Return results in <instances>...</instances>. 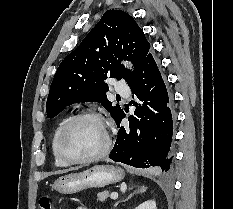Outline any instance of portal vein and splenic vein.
Listing matches in <instances>:
<instances>
[{
    "mask_svg": "<svg viewBox=\"0 0 233 209\" xmlns=\"http://www.w3.org/2000/svg\"><path fill=\"white\" fill-rule=\"evenodd\" d=\"M118 198V194L116 193V192H113L112 194H111V199H117Z\"/></svg>",
    "mask_w": 233,
    "mask_h": 209,
    "instance_id": "obj_1",
    "label": "portal vein and splenic vein"
}]
</instances>
